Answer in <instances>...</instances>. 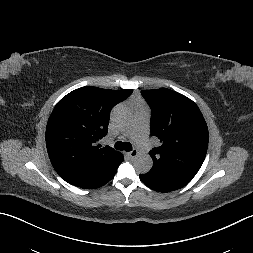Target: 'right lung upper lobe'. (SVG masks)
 <instances>
[{"instance_id": "obj_1", "label": "right lung upper lobe", "mask_w": 253, "mask_h": 253, "mask_svg": "<svg viewBox=\"0 0 253 253\" xmlns=\"http://www.w3.org/2000/svg\"><path fill=\"white\" fill-rule=\"evenodd\" d=\"M133 90L82 87L55 106L46 127V146L56 172L69 184L92 188L117 163L120 152L99 148L108 132L109 112Z\"/></svg>"}]
</instances>
